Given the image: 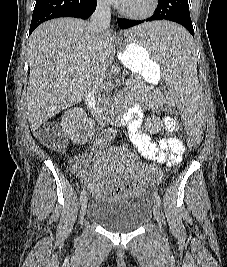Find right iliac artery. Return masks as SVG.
Masks as SVG:
<instances>
[{"label": "right iliac artery", "mask_w": 227, "mask_h": 267, "mask_svg": "<svg viewBox=\"0 0 227 267\" xmlns=\"http://www.w3.org/2000/svg\"><path fill=\"white\" fill-rule=\"evenodd\" d=\"M85 195H86V191L85 189L82 190L81 194H80V201L82 202L83 199L85 198Z\"/></svg>", "instance_id": "obj_1"}]
</instances>
